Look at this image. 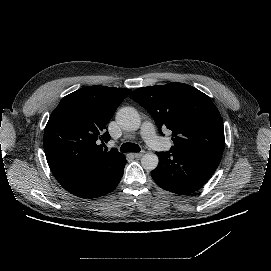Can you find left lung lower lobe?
Listing matches in <instances>:
<instances>
[{"label":"left lung lower lobe","mask_w":271,"mask_h":271,"mask_svg":"<svg viewBox=\"0 0 271 271\" xmlns=\"http://www.w3.org/2000/svg\"><path fill=\"white\" fill-rule=\"evenodd\" d=\"M158 167L151 172L153 180L164 190L187 195L200 189L217 169L222 154L183 148L157 152Z\"/></svg>","instance_id":"obj_1"}]
</instances>
